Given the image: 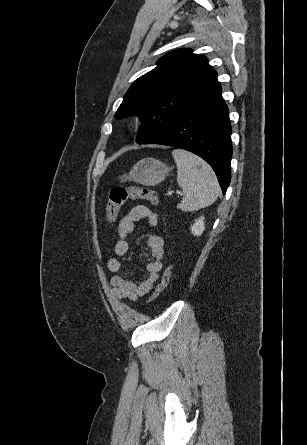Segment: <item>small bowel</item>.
<instances>
[{
	"instance_id": "obj_1",
	"label": "small bowel",
	"mask_w": 307,
	"mask_h": 445,
	"mask_svg": "<svg viewBox=\"0 0 307 445\" xmlns=\"http://www.w3.org/2000/svg\"><path fill=\"white\" fill-rule=\"evenodd\" d=\"M142 219H148L152 226H156L158 223L157 215L144 205L133 207L128 214L120 219L114 244L116 257L107 262L109 271L114 273L111 279L114 287L113 293L120 300L134 301L147 294L159 279L163 267L164 240L158 234H147L146 244L150 250L151 259L146 266V276L139 284H136L124 274L125 263L118 257H123L128 253L130 245L127 237L133 231L134 223Z\"/></svg>"
}]
</instances>
